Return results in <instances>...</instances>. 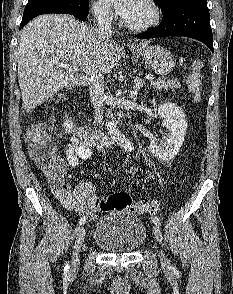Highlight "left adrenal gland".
<instances>
[{"instance_id": "obj_1", "label": "left adrenal gland", "mask_w": 233, "mask_h": 294, "mask_svg": "<svg viewBox=\"0 0 233 294\" xmlns=\"http://www.w3.org/2000/svg\"><path fill=\"white\" fill-rule=\"evenodd\" d=\"M133 83H134L133 90L130 92V96L131 98L136 99L138 95V91L143 87L144 82L141 78L135 77Z\"/></svg>"}]
</instances>
